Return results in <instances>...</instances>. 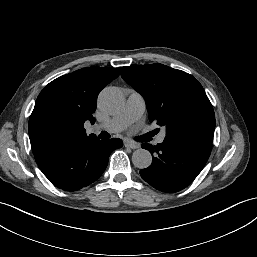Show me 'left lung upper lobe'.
Instances as JSON below:
<instances>
[{"label":"left lung upper lobe","mask_w":257,"mask_h":257,"mask_svg":"<svg viewBox=\"0 0 257 257\" xmlns=\"http://www.w3.org/2000/svg\"><path fill=\"white\" fill-rule=\"evenodd\" d=\"M121 76L144 97L149 120L166 127L165 138L214 136L212 104L192 75L156 63L122 67Z\"/></svg>","instance_id":"5c2ea615"}]
</instances>
